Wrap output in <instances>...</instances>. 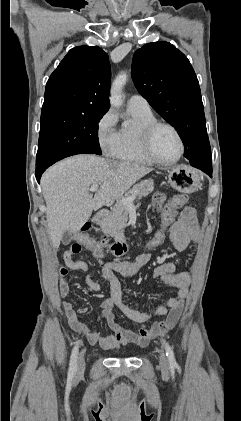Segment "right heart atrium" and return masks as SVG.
<instances>
[{
	"instance_id": "obj_1",
	"label": "right heart atrium",
	"mask_w": 241,
	"mask_h": 421,
	"mask_svg": "<svg viewBox=\"0 0 241 421\" xmlns=\"http://www.w3.org/2000/svg\"><path fill=\"white\" fill-rule=\"evenodd\" d=\"M115 125L116 117L111 110L105 112L96 125L97 141L102 152L106 155H112L116 144L117 131Z\"/></svg>"
}]
</instances>
